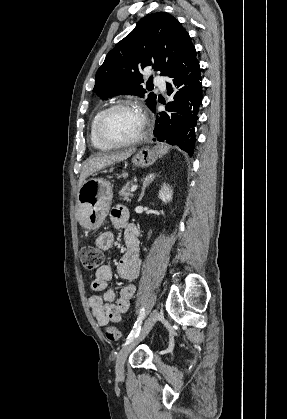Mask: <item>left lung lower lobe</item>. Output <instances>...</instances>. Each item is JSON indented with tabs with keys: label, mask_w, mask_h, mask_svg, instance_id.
<instances>
[{
	"label": "left lung lower lobe",
	"mask_w": 287,
	"mask_h": 419,
	"mask_svg": "<svg viewBox=\"0 0 287 419\" xmlns=\"http://www.w3.org/2000/svg\"><path fill=\"white\" fill-rule=\"evenodd\" d=\"M167 93L173 101L157 116L154 141L177 145L192 155L195 145V126L202 102V84L198 60L193 59L185 69L169 76ZM156 103L151 107L155 111Z\"/></svg>",
	"instance_id": "0a47b994"
}]
</instances>
